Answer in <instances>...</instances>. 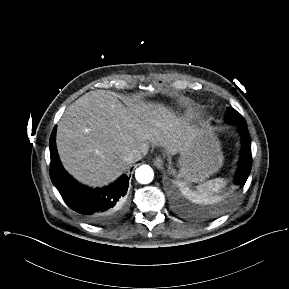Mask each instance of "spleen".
<instances>
[{
  "instance_id": "spleen-1",
  "label": "spleen",
  "mask_w": 289,
  "mask_h": 289,
  "mask_svg": "<svg viewBox=\"0 0 289 289\" xmlns=\"http://www.w3.org/2000/svg\"><path fill=\"white\" fill-rule=\"evenodd\" d=\"M226 181L224 178H215L208 180L207 182L199 186V191L202 194H214L218 193L223 187H225Z\"/></svg>"
}]
</instances>
